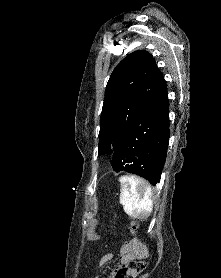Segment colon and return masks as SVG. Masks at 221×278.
Listing matches in <instances>:
<instances>
[{
	"label": "colon",
	"instance_id": "colon-1",
	"mask_svg": "<svg viewBox=\"0 0 221 278\" xmlns=\"http://www.w3.org/2000/svg\"><path fill=\"white\" fill-rule=\"evenodd\" d=\"M138 223H132V228L136 229ZM148 266L147 255H141L129 261L122 269L116 273V278H134L142 273Z\"/></svg>",
	"mask_w": 221,
	"mask_h": 278
}]
</instances>
